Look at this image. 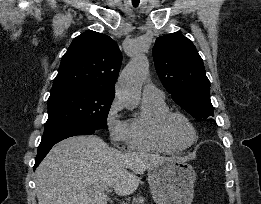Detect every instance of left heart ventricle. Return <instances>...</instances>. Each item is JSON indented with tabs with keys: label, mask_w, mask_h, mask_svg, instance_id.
Instances as JSON below:
<instances>
[{
	"label": "left heart ventricle",
	"mask_w": 261,
	"mask_h": 204,
	"mask_svg": "<svg viewBox=\"0 0 261 204\" xmlns=\"http://www.w3.org/2000/svg\"><path fill=\"white\" fill-rule=\"evenodd\" d=\"M169 131L172 138L179 145H187L191 142L193 134L191 129L182 120L174 119L169 126Z\"/></svg>",
	"instance_id": "obj_1"
}]
</instances>
